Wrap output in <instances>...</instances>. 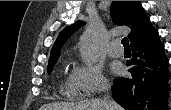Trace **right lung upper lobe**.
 Wrapping results in <instances>:
<instances>
[{"label":"right lung upper lobe","mask_w":171,"mask_h":110,"mask_svg":"<svg viewBox=\"0 0 171 110\" xmlns=\"http://www.w3.org/2000/svg\"><path fill=\"white\" fill-rule=\"evenodd\" d=\"M111 16L117 25L131 28V33L128 35L131 45L157 32L144 12L140 1H112ZM80 25V21H77L60 32L51 49L50 58L60 55L61 47Z\"/></svg>","instance_id":"cb5924a9"}]
</instances>
